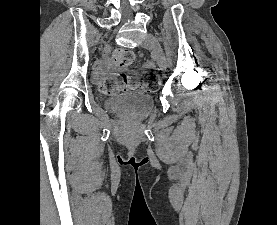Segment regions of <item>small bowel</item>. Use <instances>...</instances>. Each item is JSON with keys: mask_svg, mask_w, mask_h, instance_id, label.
Segmentation results:
<instances>
[{"mask_svg": "<svg viewBox=\"0 0 277 225\" xmlns=\"http://www.w3.org/2000/svg\"><path fill=\"white\" fill-rule=\"evenodd\" d=\"M105 78V73L102 69L97 71V79L101 82Z\"/></svg>", "mask_w": 277, "mask_h": 225, "instance_id": "small-bowel-1", "label": "small bowel"}]
</instances>
